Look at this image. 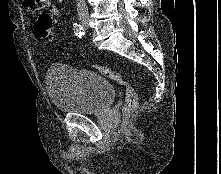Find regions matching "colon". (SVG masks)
Wrapping results in <instances>:
<instances>
[{
    "label": "colon",
    "instance_id": "obj_1",
    "mask_svg": "<svg viewBox=\"0 0 221 174\" xmlns=\"http://www.w3.org/2000/svg\"><path fill=\"white\" fill-rule=\"evenodd\" d=\"M34 32L39 39H53V19L51 15L46 13L40 15L34 24ZM92 68L106 78L124 87L125 105L123 111L126 117L130 116L138 105L137 93L132 85L122 75L108 67L93 65Z\"/></svg>",
    "mask_w": 221,
    "mask_h": 174
}]
</instances>
